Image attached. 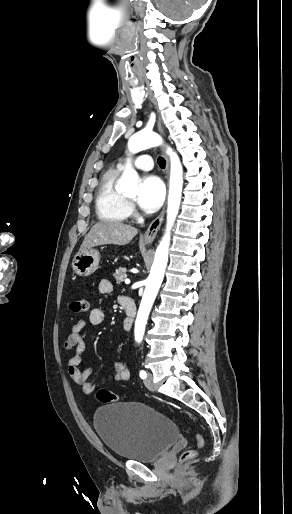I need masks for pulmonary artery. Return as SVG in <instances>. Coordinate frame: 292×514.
Returning <instances> with one entry per match:
<instances>
[{
    "mask_svg": "<svg viewBox=\"0 0 292 514\" xmlns=\"http://www.w3.org/2000/svg\"><path fill=\"white\" fill-rule=\"evenodd\" d=\"M136 157L139 159L135 165L138 172H151L153 170L154 165L149 159L150 154L147 151L138 152Z\"/></svg>",
    "mask_w": 292,
    "mask_h": 514,
    "instance_id": "obj_1",
    "label": "pulmonary artery"
}]
</instances>
